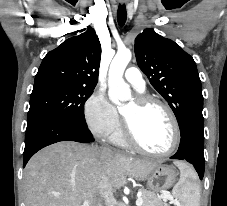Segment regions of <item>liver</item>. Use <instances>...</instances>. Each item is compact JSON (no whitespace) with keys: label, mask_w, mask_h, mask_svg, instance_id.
<instances>
[{"label":"liver","mask_w":227,"mask_h":206,"mask_svg":"<svg viewBox=\"0 0 227 206\" xmlns=\"http://www.w3.org/2000/svg\"><path fill=\"white\" fill-rule=\"evenodd\" d=\"M159 161L138 160L110 149L62 141L36 153L23 176L25 206H97L105 176L112 189L127 176L145 180Z\"/></svg>","instance_id":"1"}]
</instances>
